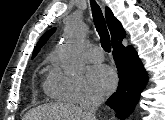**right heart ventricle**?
<instances>
[{
    "label": "right heart ventricle",
    "instance_id": "e07e8e85",
    "mask_svg": "<svg viewBox=\"0 0 165 120\" xmlns=\"http://www.w3.org/2000/svg\"><path fill=\"white\" fill-rule=\"evenodd\" d=\"M44 89H45V91H46L47 93L50 94L47 82H46L45 85H44Z\"/></svg>",
    "mask_w": 165,
    "mask_h": 120
}]
</instances>
